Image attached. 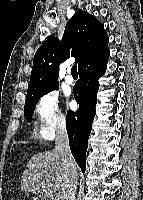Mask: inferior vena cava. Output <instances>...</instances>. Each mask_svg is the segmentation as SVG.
Wrapping results in <instances>:
<instances>
[{
	"label": "inferior vena cava",
	"mask_w": 143,
	"mask_h": 200,
	"mask_svg": "<svg viewBox=\"0 0 143 200\" xmlns=\"http://www.w3.org/2000/svg\"><path fill=\"white\" fill-rule=\"evenodd\" d=\"M55 149L62 156L65 168V180L61 192V200H75L78 184L75 161L70 151L69 139L64 121H60L56 129Z\"/></svg>",
	"instance_id": "obj_1"
}]
</instances>
